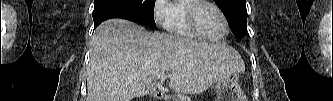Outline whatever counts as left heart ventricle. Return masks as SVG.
<instances>
[{
    "label": "left heart ventricle",
    "instance_id": "left-heart-ventricle-1",
    "mask_svg": "<svg viewBox=\"0 0 333 101\" xmlns=\"http://www.w3.org/2000/svg\"><path fill=\"white\" fill-rule=\"evenodd\" d=\"M197 20L201 31L208 37L216 38L224 32L220 15L210 6L205 5L198 10Z\"/></svg>",
    "mask_w": 333,
    "mask_h": 101
}]
</instances>
